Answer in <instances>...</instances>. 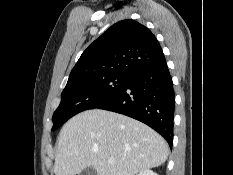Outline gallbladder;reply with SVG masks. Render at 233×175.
I'll list each match as a JSON object with an SVG mask.
<instances>
[{
	"mask_svg": "<svg viewBox=\"0 0 233 175\" xmlns=\"http://www.w3.org/2000/svg\"><path fill=\"white\" fill-rule=\"evenodd\" d=\"M79 175H97L94 167H88L84 169Z\"/></svg>",
	"mask_w": 233,
	"mask_h": 175,
	"instance_id": "gallbladder-1",
	"label": "gallbladder"
}]
</instances>
